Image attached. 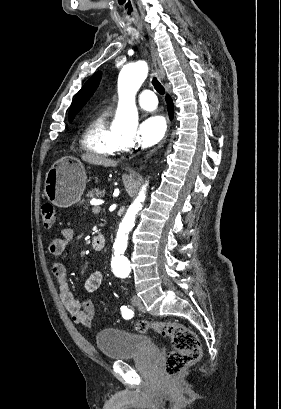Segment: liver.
<instances>
[{"label":"liver","mask_w":281,"mask_h":409,"mask_svg":"<svg viewBox=\"0 0 281 409\" xmlns=\"http://www.w3.org/2000/svg\"><path fill=\"white\" fill-rule=\"evenodd\" d=\"M82 160H86L89 164H102V166H117V160L113 158H107V156H102V154H97V152H85L81 154Z\"/></svg>","instance_id":"obj_1"}]
</instances>
